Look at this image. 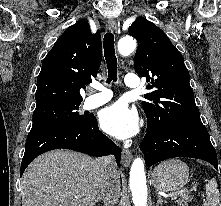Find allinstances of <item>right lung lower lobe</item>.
Segmentation results:
<instances>
[{"instance_id":"1","label":"right lung lower lobe","mask_w":221,"mask_h":206,"mask_svg":"<svg viewBox=\"0 0 221 206\" xmlns=\"http://www.w3.org/2000/svg\"><path fill=\"white\" fill-rule=\"evenodd\" d=\"M71 149L92 156L114 154L120 163L121 149L99 131L96 117L83 124H54L31 129L25 144L20 176L40 154L53 149Z\"/></svg>"}]
</instances>
